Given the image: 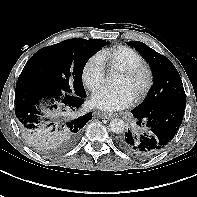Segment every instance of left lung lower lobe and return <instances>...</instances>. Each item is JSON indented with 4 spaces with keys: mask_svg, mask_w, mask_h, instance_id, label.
Instances as JSON below:
<instances>
[{
    "mask_svg": "<svg viewBox=\"0 0 197 197\" xmlns=\"http://www.w3.org/2000/svg\"><path fill=\"white\" fill-rule=\"evenodd\" d=\"M186 98H174L149 111L134 108L133 116L140 128L129 130L118 139L119 147L135 158H150L162 152L173 140L184 116Z\"/></svg>",
    "mask_w": 197,
    "mask_h": 197,
    "instance_id": "left-lung-lower-lobe-1",
    "label": "left lung lower lobe"
}]
</instances>
